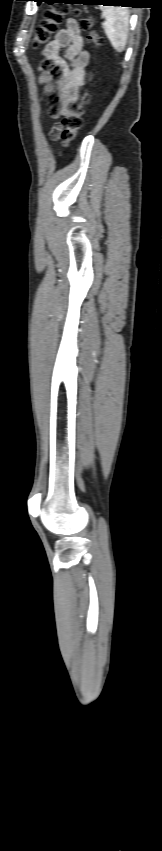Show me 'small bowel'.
<instances>
[{
	"instance_id": "c3829d8e",
	"label": "small bowel",
	"mask_w": 162,
	"mask_h": 851,
	"mask_svg": "<svg viewBox=\"0 0 162 851\" xmlns=\"http://www.w3.org/2000/svg\"><path fill=\"white\" fill-rule=\"evenodd\" d=\"M45 58L39 66L42 71L39 83L44 92L56 94L49 100V114L56 118L69 113L70 106L85 82V68L89 55L83 49V38L77 22L69 18L65 27L58 30L50 43L41 51ZM52 138L58 139L52 130Z\"/></svg>"
}]
</instances>
